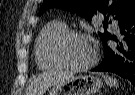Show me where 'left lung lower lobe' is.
<instances>
[{
  "instance_id": "obj_1",
  "label": "left lung lower lobe",
  "mask_w": 135,
  "mask_h": 95,
  "mask_svg": "<svg viewBox=\"0 0 135 95\" xmlns=\"http://www.w3.org/2000/svg\"><path fill=\"white\" fill-rule=\"evenodd\" d=\"M121 40L109 35L102 40L104 58L102 62L91 71L112 72L128 79L135 86V12L120 21ZM114 40L111 44L108 41Z\"/></svg>"
}]
</instances>
